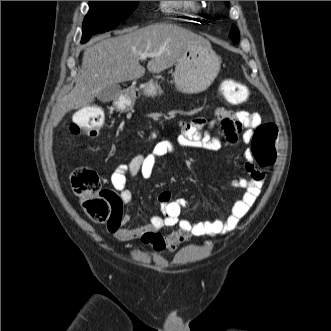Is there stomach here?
Instances as JSON below:
<instances>
[{"instance_id": "0dacf381", "label": "stomach", "mask_w": 331, "mask_h": 331, "mask_svg": "<svg viewBox=\"0 0 331 331\" xmlns=\"http://www.w3.org/2000/svg\"><path fill=\"white\" fill-rule=\"evenodd\" d=\"M220 70V59L210 43L192 46L178 59L174 71L176 89L187 94L199 93L206 90L216 78ZM162 91L160 87L150 82L144 89L147 96H156ZM134 105L133 97L123 95L116 103L121 111L130 110Z\"/></svg>"}]
</instances>
